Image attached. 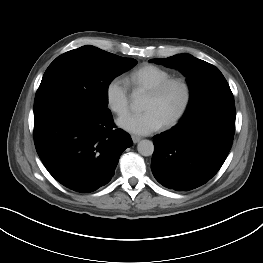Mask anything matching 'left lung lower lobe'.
Returning <instances> with one entry per match:
<instances>
[{"label": "left lung lower lobe", "mask_w": 263, "mask_h": 263, "mask_svg": "<svg viewBox=\"0 0 263 263\" xmlns=\"http://www.w3.org/2000/svg\"><path fill=\"white\" fill-rule=\"evenodd\" d=\"M235 133L234 103H219L183 117L153 137L151 169L164 187L189 191L208 182L223 165Z\"/></svg>", "instance_id": "obj_1"}]
</instances>
